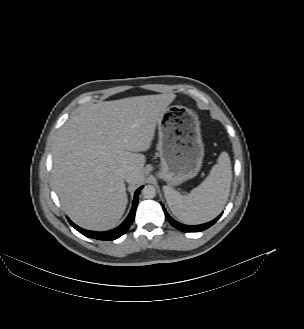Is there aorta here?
Returning a JSON list of instances; mask_svg holds the SVG:
<instances>
[{
  "mask_svg": "<svg viewBox=\"0 0 304 329\" xmlns=\"http://www.w3.org/2000/svg\"><path fill=\"white\" fill-rule=\"evenodd\" d=\"M142 194L147 199L154 198L156 196V188L153 185H146L142 189Z\"/></svg>",
  "mask_w": 304,
  "mask_h": 329,
  "instance_id": "obj_1",
  "label": "aorta"
}]
</instances>
